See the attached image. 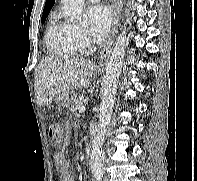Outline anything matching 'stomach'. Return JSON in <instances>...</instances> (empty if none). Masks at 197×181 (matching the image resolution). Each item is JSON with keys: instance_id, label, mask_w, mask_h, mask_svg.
<instances>
[{"instance_id": "obj_1", "label": "stomach", "mask_w": 197, "mask_h": 181, "mask_svg": "<svg viewBox=\"0 0 197 181\" xmlns=\"http://www.w3.org/2000/svg\"><path fill=\"white\" fill-rule=\"evenodd\" d=\"M74 99L75 94L71 90L62 91L56 97V101L61 109H68Z\"/></svg>"}]
</instances>
